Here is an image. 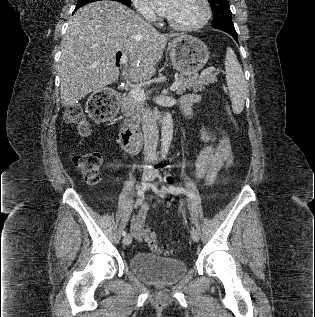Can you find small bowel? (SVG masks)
<instances>
[{
  "label": "small bowel",
  "mask_w": 315,
  "mask_h": 317,
  "mask_svg": "<svg viewBox=\"0 0 315 317\" xmlns=\"http://www.w3.org/2000/svg\"><path fill=\"white\" fill-rule=\"evenodd\" d=\"M199 101L195 94L187 95L182 100V108L187 117L193 116V104ZM233 154L230 146V140L225 132L218 131L213 136L212 141L201 151L200 155L192 165L193 175L197 179H204L207 184H212L218 173L222 169L231 166ZM150 209V204L145 203L141 206L138 214L132 221L131 230L135 238H142V231L145 226L146 215Z\"/></svg>",
  "instance_id": "small-bowel-1"
}]
</instances>
